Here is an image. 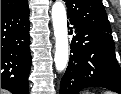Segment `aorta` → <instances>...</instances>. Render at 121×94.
Segmentation results:
<instances>
[{
  "label": "aorta",
  "mask_w": 121,
  "mask_h": 94,
  "mask_svg": "<svg viewBox=\"0 0 121 94\" xmlns=\"http://www.w3.org/2000/svg\"><path fill=\"white\" fill-rule=\"evenodd\" d=\"M52 21L55 35V66L62 72L68 64L69 45L66 9L61 0H56L52 7Z\"/></svg>",
  "instance_id": "aorta-1"
}]
</instances>
